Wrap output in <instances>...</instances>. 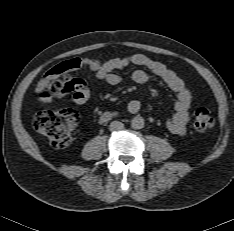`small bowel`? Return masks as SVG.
<instances>
[{"label":"small bowel","instance_id":"obj_1","mask_svg":"<svg viewBox=\"0 0 234 231\" xmlns=\"http://www.w3.org/2000/svg\"><path fill=\"white\" fill-rule=\"evenodd\" d=\"M82 66L94 72L99 80L105 81L110 86H117L121 82V77L117 70L128 66H142L150 70L168 88L176 93L177 99L174 104L175 113L166 121L168 131L177 136H184L187 132V123L192 109V93L185 81L165 64L153 60L144 54H132L124 57H117L102 61L97 58H85ZM60 65L52 67L40 79L36 86L38 100L40 102H50L51 96L47 91L51 82L59 75ZM132 80L138 84H144L151 80V75L141 69L132 73ZM69 91H72L71 101L76 104L87 102L91 96L88 84L83 79H74ZM141 109V103L133 100L128 104L131 113H137Z\"/></svg>","mask_w":234,"mask_h":231}]
</instances>
